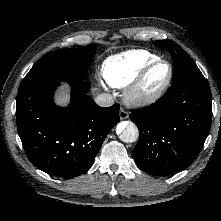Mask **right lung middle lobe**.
I'll return each mask as SVG.
<instances>
[{
  "mask_svg": "<svg viewBox=\"0 0 221 221\" xmlns=\"http://www.w3.org/2000/svg\"><path fill=\"white\" fill-rule=\"evenodd\" d=\"M95 52V45L49 52L31 68L19 90L51 81L82 80Z\"/></svg>",
  "mask_w": 221,
  "mask_h": 221,
  "instance_id": "right-lung-middle-lobe-1",
  "label": "right lung middle lobe"
}]
</instances>
